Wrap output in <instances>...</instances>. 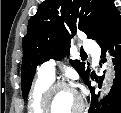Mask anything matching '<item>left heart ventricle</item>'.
<instances>
[{"label":"left heart ventricle","instance_id":"1","mask_svg":"<svg viewBox=\"0 0 121 113\" xmlns=\"http://www.w3.org/2000/svg\"><path fill=\"white\" fill-rule=\"evenodd\" d=\"M78 104L76 95L67 89L59 90L55 95V105L53 110L56 112H70Z\"/></svg>","mask_w":121,"mask_h":113}]
</instances>
